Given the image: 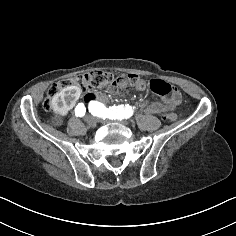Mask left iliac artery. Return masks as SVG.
Instances as JSON below:
<instances>
[{
    "mask_svg": "<svg viewBox=\"0 0 236 236\" xmlns=\"http://www.w3.org/2000/svg\"><path fill=\"white\" fill-rule=\"evenodd\" d=\"M89 112L93 115V116H97L100 118H109V119H118V120H122V119H127L129 117H131L133 115V109L135 107L129 106V104L126 105H119V106H112L109 108H106L104 106V104L98 102V101H91L89 103Z\"/></svg>",
    "mask_w": 236,
    "mask_h": 236,
    "instance_id": "1",
    "label": "left iliac artery"
}]
</instances>
